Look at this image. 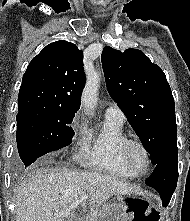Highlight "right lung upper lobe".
Listing matches in <instances>:
<instances>
[{
	"label": "right lung upper lobe",
	"mask_w": 190,
	"mask_h": 221,
	"mask_svg": "<svg viewBox=\"0 0 190 221\" xmlns=\"http://www.w3.org/2000/svg\"><path fill=\"white\" fill-rule=\"evenodd\" d=\"M85 84L83 52L65 40L50 43L29 63L18 95V111H75Z\"/></svg>",
	"instance_id": "right-lung-upper-lobe-1"
}]
</instances>
